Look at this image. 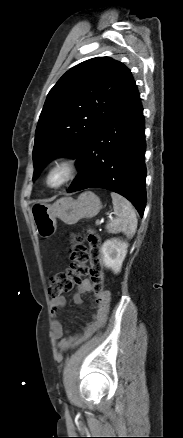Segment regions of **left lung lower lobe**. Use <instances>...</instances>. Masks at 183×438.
Listing matches in <instances>:
<instances>
[{"label": "left lung lower lobe", "mask_w": 183, "mask_h": 438, "mask_svg": "<svg viewBox=\"0 0 183 438\" xmlns=\"http://www.w3.org/2000/svg\"><path fill=\"white\" fill-rule=\"evenodd\" d=\"M145 148L143 109L135 85L82 146L76 157L79 174L67 192L111 190L127 198L143 216Z\"/></svg>", "instance_id": "left-lung-lower-lobe-1"}]
</instances>
